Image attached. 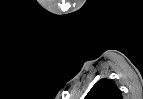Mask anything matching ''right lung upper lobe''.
<instances>
[{
  "mask_svg": "<svg viewBox=\"0 0 143 99\" xmlns=\"http://www.w3.org/2000/svg\"><path fill=\"white\" fill-rule=\"evenodd\" d=\"M85 99H122V93L113 80L102 78L91 88Z\"/></svg>",
  "mask_w": 143,
  "mask_h": 99,
  "instance_id": "1",
  "label": "right lung upper lobe"
}]
</instances>
